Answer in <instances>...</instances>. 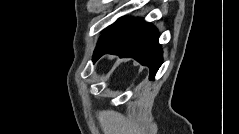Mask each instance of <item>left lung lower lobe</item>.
I'll list each match as a JSON object with an SVG mask.
<instances>
[{"label":"left lung lower lobe","instance_id":"left-lung-lower-lobe-1","mask_svg":"<svg viewBox=\"0 0 239 134\" xmlns=\"http://www.w3.org/2000/svg\"><path fill=\"white\" fill-rule=\"evenodd\" d=\"M106 53L136 59L149 67L151 78L162 64V49L158 44L156 28L133 18L118 19L102 33L93 61Z\"/></svg>","mask_w":239,"mask_h":134}]
</instances>
